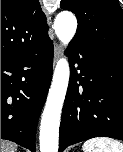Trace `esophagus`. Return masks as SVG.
I'll list each match as a JSON object with an SVG mask.
<instances>
[{
	"label": "esophagus",
	"mask_w": 123,
	"mask_h": 152,
	"mask_svg": "<svg viewBox=\"0 0 123 152\" xmlns=\"http://www.w3.org/2000/svg\"><path fill=\"white\" fill-rule=\"evenodd\" d=\"M61 54V46L58 43L54 45V62H57Z\"/></svg>",
	"instance_id": "34e87169"
}]
</instances>
